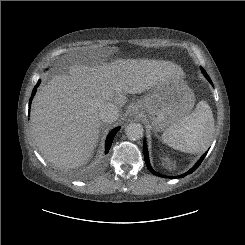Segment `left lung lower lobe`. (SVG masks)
I'll return each instance as SVG.
<instances>
[{"mask_svg": "<svg viewBox=\"0 0 245 245\" xmlns=\"http://www.w3.org/2000/svg\"><path fill=\"white\" fill-rule=\"evenodd\" d=\"M202 69V72L204 74V76L209 80V82L212 84V81L211 79L209 78V76L207 75V73L205 72V70L203 68ZM208 151H206L202 156L201 158L197 161V163L188 171L186 172L185 174H182V175H179V176H176V177H169V178H182V177H185L187 174H191L193 171H195L199 165L201 164V162L203 161L204 157L206 156ZM143 153H144V158H145V163H146V166L148 167V169L150 170V172L156 176H160V177H166V176H163L157 172H155L152 167L150 166V162H149V156H148V150H147V146H146V142L144 140V143H143Z\"/></svg>", "mask_w": 245, "mask_h": 245, "instance_id": "left-lung-lower-lobe-1", "label": "left lung lower lobe"}]
</instances>
